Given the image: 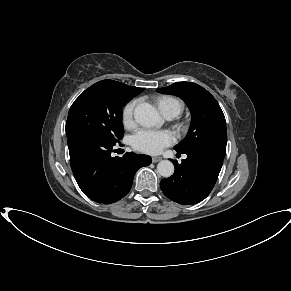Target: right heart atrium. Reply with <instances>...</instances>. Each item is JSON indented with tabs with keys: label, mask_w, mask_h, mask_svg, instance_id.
I'll return each mask as SVG.
<instances>
[{
	"label": "right heart atrium",
	"mask_w": 291,
	"mask_h": 291,
	"mask_svg": "<svg viewBox=\"0 0 291 291\" xmlns=\"http://www.w3.org/2000/svg\"><path fill=\"white\" fill-rule=\"evenodd\" d=\"M136 104V100L130 101L122 110V122L126 128H132L134 125V111Z\"/></svg>",
	"instance_id": "right-heart-atrium-1"
}]
</instances>
